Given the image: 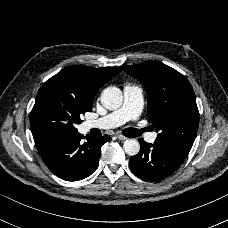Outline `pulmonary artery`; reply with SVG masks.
I'll return each instance as SVG.
<instances>
[{
    "mask_svg": "<svg viewBox=\"0 0 228 228\" xmlns=\"http://www.w3.org/2000/svg\"><path fill=\"white\" fill-rule=\"evenodd\" d=\"M124 103L123 106L113 112L84 123L86 130L91 129H112L117 128L128 120H136L142 112V89L135 84H126L123 88ZM157 138L156 132L146 134L145 139L149 143H154Z\"/></svg>",
    "mask_w": 228,
    "mask_h": 228,
    "instance_id": "obj_1",
    "label": "pulmonary artery"
}]
</instances>
